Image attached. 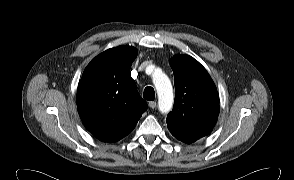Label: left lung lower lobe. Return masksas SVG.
Wrapping results in <instances>:
<instances>
[{
  "mask_svg": "<svg viewBox=\"0 0 294 180\" xmlns=\"http://www.w3.org/2000/svg\"><path fill=\"white\" fill-rule=\"evenodd\" d=\"M178 140H181L184 143L190 144L195 142L200 138L190 137V136H175Z\"/></svg>",
  "mask_w": 294,
  "mask_h": 180,
  "instance_id": "1",
  "label": "left lung lower lobe"
}]
</instances>
